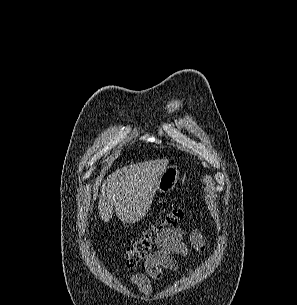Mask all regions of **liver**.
<instances>
[{
	"mask_svg": "<svg viewBox=\"0 0 297 305\" xmlns=\"http://www.w3.org/2000/svg\"><path fill=\"white\" fill-rule=\"evenodd\" d=\"M167 166V159H156L130 164L110 174L102 184L98 202L102 221L107 223L114 211L126 224L142 220L150 209L158 180Z\"/></svg>",
	"mask_w": 297,
	"mask_h": 305,
	"instance_id": "6515ba94",
	"label": "liver"
}]
</instances>
